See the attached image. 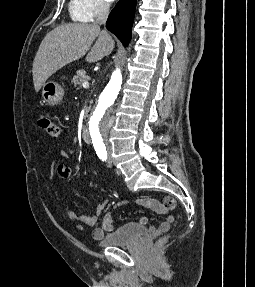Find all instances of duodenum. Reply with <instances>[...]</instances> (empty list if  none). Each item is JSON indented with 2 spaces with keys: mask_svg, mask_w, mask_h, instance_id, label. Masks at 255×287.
<instances>
[{
  "mask_svg": "<svg viewBox=\"0 0 255 287\" xmlns=\"http://www.w3.org/2000/svg\"><path fill=\"white\" fill-rule=\"evenodd\" d=\"M81 137L85 142H87V143L90 142V135H89V130L87 127H83L81 129Z\"/></svg>",
  "mask_w": 255,
  "mask_h": 287,
  "instance_id": "obj_1",
  "label": "duodenum"
}]
</instances>
